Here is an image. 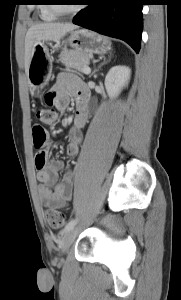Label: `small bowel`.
<instances>
[{
    "instance_id": "c3829d8e",
    "label": "small bowel",
    "mask_w": 181,
    "mask_h": 300,
    "mask_svg": "<svg viewBox=\"0 0 181 300\" xmlns=\"http://www.w3.org/2000/svg\"><path fill=\"white\" fill-rule=\"evenodd\" d=\"M50 94L54 96L52 105L60 111L67 108L70 97L75 99L76 111L68 133L67 145V155L75 157L79 153L82 141L81 129L86 124L88 117V91L77 76L62 72L57 76ZM41 154L45 157V164L42 167H37L41 203L47 207H65L72 197L74 172L67 170L59 179V173L64 169L63 161L58 158L47 160L46 149L42 150Z\"/></svg>"
}]
</instances>
